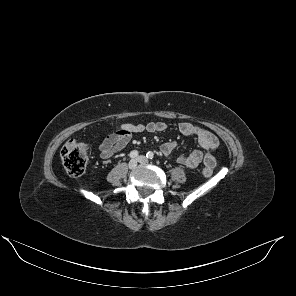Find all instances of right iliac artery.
Returning a JSON list of instances; mask_svg holds the SVG:
<instances>
[{"label":"right iliac artery","mask_w":296,"mask_h":296,"mask_svg":"<svg viewBox=\"0 0 296 296\" xmlns=\"http://www.w3.org/2000/svg\"><path fill=\"white\" fill-rule=\"evenodd\" d=\"M129 156L130 158H133V159L136 158L138 156V151L136 150L131 151Z\"/></svg>","instance_id":"82829eb1"}]
</instances>
